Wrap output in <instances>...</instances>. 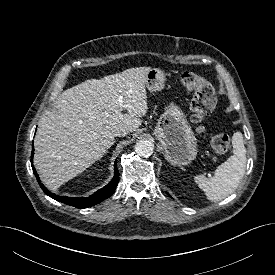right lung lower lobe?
Wrapping results in <instances>:
<instances>
[{
    "instance_id": "1",
    "label": "right lung lower lobe",
    "mask_w": 275,
    "mask_h": 275,
    "mask_svg": "<svg viewBox=\"0 0 275 275\" xmlns=\"http://www.w3.org/2000/svg\"><path fill=\"white\" fill-rule=\"evenodd\" d=\"M33 154H34V148H32V155H31V163H33ZM33 172L35 174V177L37 178L38 183L40 184V187L45 192L46 195L50 196L51 198L65 203L70 206H74L79 209L88 208L90 206L96 205L103 200L109 198L115 191V188L118 184L119 180V172L117 169V161L114 163V177L111 180L109 184H107L105 187L101 188L97 192H95L93 195L87 198H75V197H67V196H58L54 193H51L45 186L41 183L38 174L36 173L35 168L32 166Z\"/></svg>"
}]
</instances>
